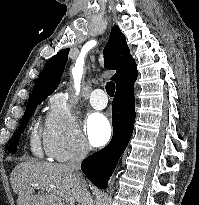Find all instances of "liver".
Here are the masks:
<instances>
[{
    "label": "liver",
    "mask_w": 199,
    "mask_h": 205,
    "mask_svg": "<svg viewBox=\"0 0 199 205\" xmlns=\"http://www.w3.org/2000/svg\"><path fill=\"white\" fill-rule=\"evenodd\" d=\"M10 181L18 194L17 205H65L57 192L82 203V187L75 173L64 164L24 161L13 169ZM35 188L41 194H36Z\"/></svg>",
    "instance_id": "obj_1"
}]
</instances>
